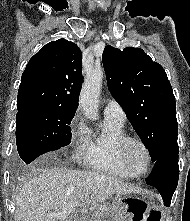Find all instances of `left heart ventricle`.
<instances>
[{
    "instance_id": "b2bd125f",
    "label": "left heart ventricle",
    "mask_w": 190,
    "mask_h": 221,
    "mask_svg": "<svg viewBox=\"0 0 190 221\" xmlns=\"http://www.w3.org/2000/svg\"><path fill=\"white\" fill-rule=\"evenodd\" d=\"M129 160L132 165L138 171H143L147 166V155L144 149L136 143H133L129 147Z\"/></svg>"
}]
</instances>
